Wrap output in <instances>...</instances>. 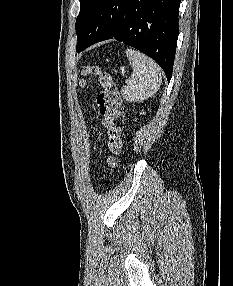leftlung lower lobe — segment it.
<instances>
[{
	"instance_id": "left-lung-lower-lobe-1",
	"label": "left lung lower lobe",
	"mask_w": 233,
	"mask_h": 286,
	"mask_svg": "<svg viewBox=\"0 0 233 286\" xmlns=\"http://www.w3.org/2000/svg\"><path fill=\"white\" fill-rule=\"evenodd\" d=\"M180 0H98L78 37L77 52L115 38L154 59L170 81Z\"/></svg>"
}]
</instances>
